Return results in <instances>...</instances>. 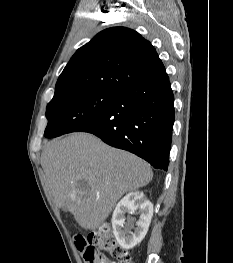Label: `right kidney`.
Masks as SVG:
<instances>
[{
	"mask_svg": "<svg viewBox=\"0 0 233 263\" xmlns=\"http://www.w3.org/2000/svg\"><path fill=\"white\" fill-rule=\"evenodd\" d=\"M137 210L140 217L136 222V227H134L133 218H128L127 223H125V215H132ZM152 216L153 204L143 192H131L123 197L112 215L113 233L119 245L128 250L139 244L147 234ZM131 229H134V232Z\"/></svg>",
	"mask_w": 233,
	"mask_h": 263,
	"instance_id": "1",
	"label": "right kidney"
}]
</instances>
